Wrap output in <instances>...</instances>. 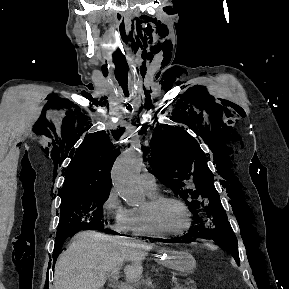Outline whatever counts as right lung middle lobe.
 <instances>
[{
  "instance_id": "obj_1",
  "label": "right lung middle lobe",
  "mask_w": 289,
  "mask_h": 289,
  "mask_svg": "<svg viewBox=\"0 0 289 289\" xmlns=\"http://www.w3.org/2000/svg\"><path fill=\"white\" fill-rule=\"evenodd\" d=\"M109 191L71 195L62 198L57 237H68L80 230H104L103 203Z\"/></svg>"
}]
</instances>
